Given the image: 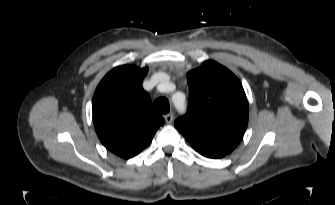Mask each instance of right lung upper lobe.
I'll return each mask as SVG.
<instances>
[{
    "label": "right lung upper lobe",
    "instance_id": "1",
    "mask_svg": "<svg viewBox=\"0 0 335 205\" xmlns=\"http://www.w3.org/2000/svg\"><path fill=\"white\" fill-rule=\"evenodd\" d=\"M147 72V67L118 66L101 80L94 93L95 131L108 150L125 159L140 153L164 124L142 88Z\"/></svg>",
    "mask_w": 335,
    "mask_h": 205
}]
</instances>
